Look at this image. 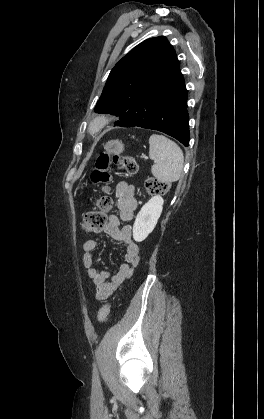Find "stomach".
Segmentation results:
<instances>
[{
	"instance_id": "1",
	"label": "stomach",
	"mask_w": 264,
	"mask_h": 419,
	"mask_svg": "<svg viewBox=\"0 0 264 419\" xmlns=\"http://www.w3.org/2000/svg\"><path fill=\"white\" fill-rule=\"evenodd\" d=\"M104 149L109 155L120 154L124 150V144L119 140H110L104 145Z\"/></svg>"
}]
</instances>
